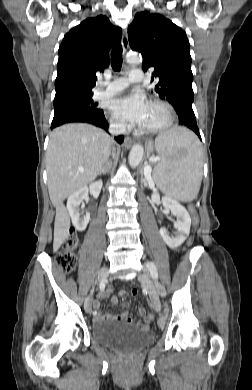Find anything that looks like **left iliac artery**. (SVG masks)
I'll return each mask as SVG.
<instances>
[{
	"label": "left iliac artery",
	"instance_id": "1",
	"mask_svg": "<svg viewBox=\"0 0 252 390\" xmlns=\"http://www.w3.org/2000/svg\"><path fill=\"white\" fill-rule=\"evenodd\" d=\"M146 266H147V268L149 269L152 278H153L154 280H156V279L158 278V272H157V269H156V266L154 265V263H152V262H147Z\"/></svg>",
	"mask_w": 252,
	"mask_h": 390
}]
</instances>
